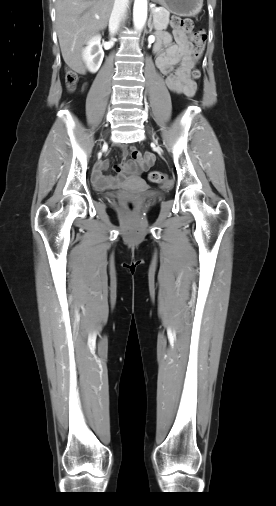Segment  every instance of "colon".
<instances>
[{"mask_svg": "<svg viewBox=\"0 0 276 506\" xmlns=\"http://www.w3.org/2000/svg\"><path fill=\"white\" fill-rule=\"evenodd\" d=\"M171 23H172V26L176 30H181L185 33L191 34L192 41L194 44L193 55H194V58L198 61L202 57V54H203V51L205 48V43H206L205 32L202 30L194 32L192 20L189 18H186V17H174V18H172ZM192 75L195 79H198L200 77V71L196 69L193 71ZM65 80H66V85H67L68 89L72 91L75 89V87L78 83V75L74 71H67L66 76H65ZM149 180L153 183L164 184V185L169 184V181H168L166 175L161 172H157V171H153L149 174ZM127 208L129 211H133L135 208L134 203L128 202Z\"/></svg>", "mask_w": 276, "mask_h": 506, "instance_id": "obj_1", "label": "colon"}]
</instances>
